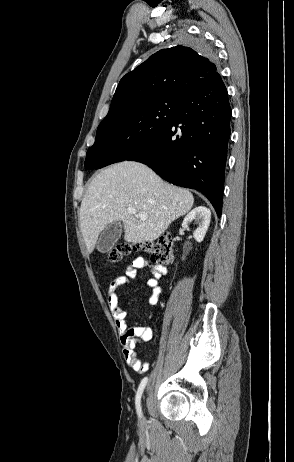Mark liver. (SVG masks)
<instances>
[{"label": "liver", "instance_id": "liver-1", "mask_svg": "<svg viewBox=\"0 0 294 462\" xmlns=\"http://www.w3.org/2000/svg\"><path fill=\"white\" fill-rule=\"evenodd\" d=\"M193 204L190 191L166 183L142 163L111 165L93 178L81 202L80 227L87 251L92 253L100 233L118 221L123 222L127 242H152ZM128 208L144 213L146 219L129 214Z\"/></svg>", "mask_w": 294, "mask_h": 462}]
</instances>
